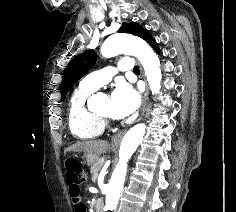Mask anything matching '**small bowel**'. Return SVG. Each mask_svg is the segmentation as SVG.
<instances>
[{
  "label": "small bowel",
  "instance_id": "obj_1",
  "mask_svg": "<svg viewBox=\"0 0 236 212\" xmlns=\"http://www.w3.org/2000/svg\"><path fill=\"white\" fill-rule=\"evenodd\" d=\"M67 191L70 192L72 202V212H88V205H81L83 203L81 180L75 179V175H66Z\"/></svg>",
  "mask_w": 236,
  "mask_h": 212
}]
</instances>
